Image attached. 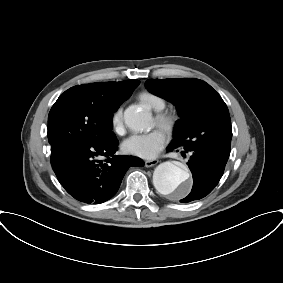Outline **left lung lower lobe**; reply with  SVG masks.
Returning <instances> with one entry per match:
<instances>
[{"label":"left lung lower lobe","mask_w":283,"mask_h":283,"mask_svg":"<svg viewBox=\"0 0 283 283\" xmlns=\"http://www.w3.org/2000/svg\"><path fill=\"white\" fill-rule=\"evenodd\" d=\"M167 150L182 151V155L185 153L190 155L187 165L193 175V187L191 193L181 202L201 199L209 194L222 177L229 158L226 154H211L188 142L171 143Z\"/></svg>","instance_id":"left-lung-lower-lobe-1"}]
</instances>
